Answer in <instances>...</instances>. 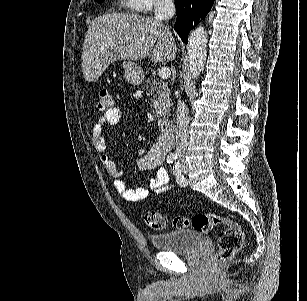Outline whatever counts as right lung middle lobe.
Returning a JSON list of instances; mask_svg holds the SVG:
<instances>
[{
	"label": "right lung middle lobe",
	"instance_id": "obj_1",
	"mask_svg": "<svg viewBox=\"0 0 307 301\" xmlns=\"http://www.w3.org/2000/svg\"><path fill=\"white\" fill-rule=\"evenodd\" d=\"M96 2H99V3H101V2H103L104 0H95Z\"/></svg>",
	"mask_w": 307,
	"mask_h": 301
}]
</instances>
